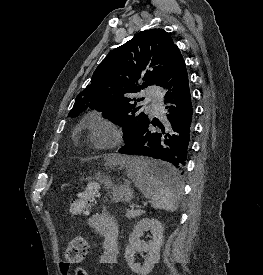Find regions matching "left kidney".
<instances>
[{
	"label": "left kidney",
	"instance_id": "5707ae66",
	"mask_svg": "<svg viewBox=\"0 0 263 275\" xmlns=\"http://www.w3.org/2000/svg\"><path fill=\"white\" fill-rule=\"evenodd\" d=\"M146 230H150L152 233V240L148 243L140 240ZM163 231L162 224L156 219L144 218L136 224L129 236V244L125 249V260L133 272L139 275H147L152 271L154 265L159 262L160 248L163 244ZM136 252L147 253L146 261L142 266L135 263L134 256Z\"/></svg>",
	"mask_w": 263,
	"mask_h": 275
}]
</instances>
